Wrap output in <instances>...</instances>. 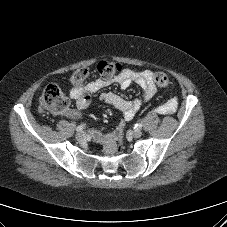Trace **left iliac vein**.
I'll list each match as a JSON object with an SVG mask.
<instances>
[{
  "instance_id": "1",
  "label": "left iliac vein",
  "mask_w": 227,
  "mask_h": 227,
  "mask_svg": "<svg viewBox=\"0 0 227 227\" xmlns=\"http://www.w3.org/2000/svg\"><path fill=\"white\" fill-rule=\"evenodd\" d=\"M132 135L135 138H139L142 136V131L140 129H134L132 130Z\"/></svg>"
}]
</instances>
